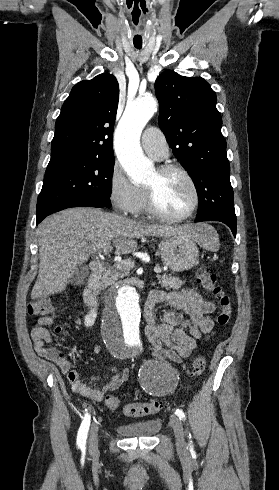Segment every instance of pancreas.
I'll return each instance as SVG.
<instances>
[{"label":"pancreas","instance_id":"obj_1","mask_svg":"<svg viewBox=\"0 0 279 490\" xmlns=\"http://www.w3.org/2000/svg\"><path fill=\"white\" fill-rule=\"evenodd\" d=\"M134 264H119V266H114V268H108L106 272H104L103 278H101L99 284L103 286V288H107V286H111V284H115L118 278H124V276H129L130 270H133ZM162 288H174V290H178L181 288L182 280L180 278H175V276H157Z\"/></svg>","mask_w":279,"mask_h":490}]
</instances>
